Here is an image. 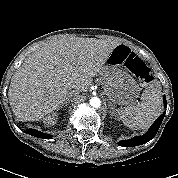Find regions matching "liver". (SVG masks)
<instances>
[{"mask_svg": "<svg viewBox=\"0 0 178 178\" xmlns=\"http://www.w3.org/2000/svg\"><path fill=\"white\" fill-rule=\"evenodd\" d=\"M119 44L78 37L45 42L12 76L8 98L14 115L39 121L61 108L73 89L85 92Z\"/></svg>", "mask_w": 178, "mask_h": 178, "instance_id": "1", "label": "liver"}]
</instances>
